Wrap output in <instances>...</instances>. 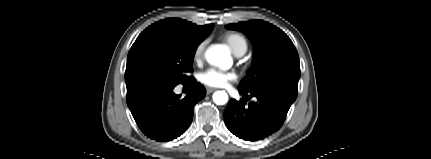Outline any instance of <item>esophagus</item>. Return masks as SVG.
<instances>
[{
	"mask_svg": "<svg viewBox=\"0 0 431 159\" xmlns=\"http://www.w3.org/2000/svg\"><path fill=\"white\" fill-rule=\"evenodd\" d=\"M206 91H207V94H210V93H212L213 91H215V88H207L206 89Z\"/></svg>",
	"mask_w": 431,
	"mask_h": 159,
	"instance_id": "esophagus-1",
	"label": "esophagus"
}]
</instances>
